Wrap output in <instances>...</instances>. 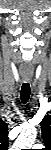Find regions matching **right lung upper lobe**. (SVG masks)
I'll list each match as a JSON object with an SVG mask.
<instances>
[{
  "label": "right lung upper lobe",
  "instance_id": "obj_1",
  "mask_svg": "<svg viewBox=\"0 0 51 150\" xmlns=\"http://www.w3.org/2000/svg\"><path fill=\"white\" fill-rule=\"evenodd\" d=\"M8 149V127L5 122L0 120V150Z\"/></svg>",
  "mask_w": 51,
  "mask_h": 150
}]
</instances>
